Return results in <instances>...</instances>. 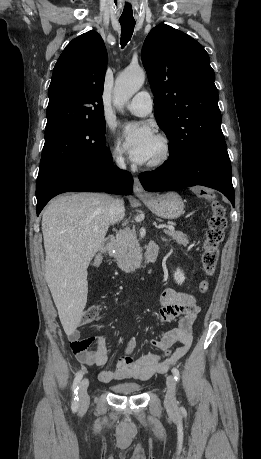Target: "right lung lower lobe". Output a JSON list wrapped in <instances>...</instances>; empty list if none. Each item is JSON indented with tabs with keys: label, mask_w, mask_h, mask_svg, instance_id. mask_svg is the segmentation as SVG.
<instances>
[{
	"label": "right lung lower lobe",
	"mask_w": 261,
	"mask_h": 459,
	"mask_svg": "<svg viewBox=\"0 0 261 459\" xmlns=\"http://www.w3.org/2000/svg\"><path fill=\"white\" fill-rule=\"evenodd\" d=\"M85 164L61 171L36 187L37 215L54 196L68 192H107L129 195L133 191L130 173L112 165Z\"/></svg>",
	"instance_id": "right-lung-lower-lobe-1"
}]
</instances>
